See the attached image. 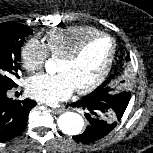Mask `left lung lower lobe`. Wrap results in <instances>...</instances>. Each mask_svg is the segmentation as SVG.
Here are the masks:
<instances>
[{
  "label": "left lung lower lobe",
  "instance_id": "obj_1",
  "mask_svg": "<svg viewBox=\"0 0 153 153\" xmlns=\"http://www.w3.org/2000/svg\"><path fill=\"white\" fill-rule=\"evenodd\" d=\"M72 106L81 107L88 111L86 118L89 124L82 134L73 136L76 142L84 144L95 142L106 136L117 125L105 117V110L108 107L106 102L83 98L73 103Z\"/></svg>",
  "mask_w": 153,
  "mask_h": 153
}]
</instances>
